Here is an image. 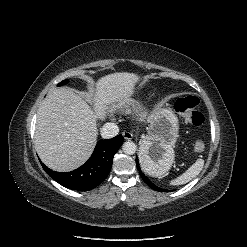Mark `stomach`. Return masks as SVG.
Returning <instances> with one entry per match:
<instances>
[{"instance_id": "stomach-1", "label": "stomach", "mask_w": 247, "mask_h": 247, "mask_svg": "<svg viewBox=\"0 0 247 247\" xmlns=\"http://www.w3.org/2000/svg\"><path fill=\"white\" fill-rule=\"evenodd\" d=\"M178 137L177 116L171 109H157L150 118L148 133L139 147V162L145 173L160 177L171 169Z\"/></svg>"}]
</instances>
